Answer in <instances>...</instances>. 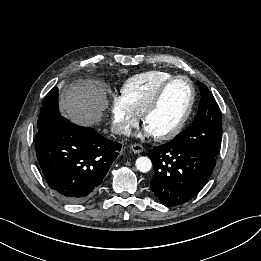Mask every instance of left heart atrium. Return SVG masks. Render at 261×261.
<instances>
[{
	"label": "left heart atrium",
	"mask_w": 261,
	"mask_h": 261,
	"mask_svg": "<svg viewBox=\"0 0 261 261\" xmlns=\"http://www.w3.org/2000/svg\"><path fill=\"white\" fill-rule=\"evenodd\" d=\"M143 136L144 137H152V136H155V135L148 127H145L144 130H143Z\"/></svg>",
	"instance_id": "39dd6f15"
}]
</instances>
